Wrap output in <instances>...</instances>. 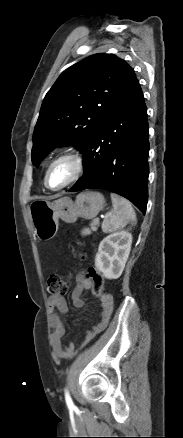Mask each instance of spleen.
I'll return each mask as SVG.
<instances>
[{"mask_svg": "<svg viewBox=\"0 0 183 438\" xmlns=\"http://www.w3.org/2000/svg\"><path fill=\"white\" fill-rule=\"evenodd\" d=\"M113 210L105 215L102 230L105 233L124 228L129 222L136 224V214L130 202L116 194H111Z\"/></svg>", "mask_w": 183, "mask_h": 438, "instance_id": "1", "label": "spleen"}]
</instances>
